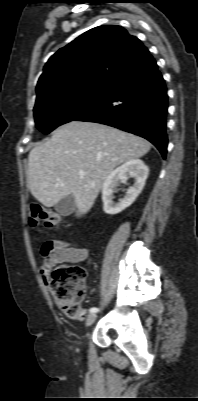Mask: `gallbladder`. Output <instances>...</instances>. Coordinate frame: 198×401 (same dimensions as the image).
Returning <instances> with one entry per match:
<instances>
[{
	"label": "gallbladder",
	"instance_id": "obj_1",
	"mask_svg": "<svg viewBox=\"0 0 198 401\" xmlns=\"http://www.w3.org/2000/svg\"><path fill=\"white\" fill-rule=\"evenodd\" d=\"M54 207L60 215L68 216L75 210V198L73 195L66 196L58 201Z\"/></svg>",
	"mask_w": 198,
	"mask_h": 401
}]
</instances>
